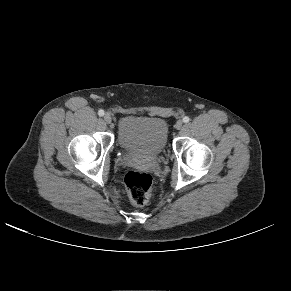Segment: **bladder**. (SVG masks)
Wrapping results in <instances>:
<instances>
[{"instance_id": "bladder-1", "label": "bladder", "mask_w": 291, "mask_h": 291, "mask_svg": "<svg viewBox=\"0 0 291 291\" xmlns=\"http://www.w3.org/2000/svg\"><path fill=\"white\" fill-rule=\"evenodd\" d=\"M168 124L157 116H123L117 127L118 145L133 154L157 155L166 147Z\"/></svg>"}]
</instances>
